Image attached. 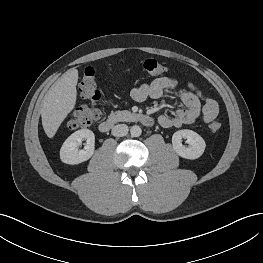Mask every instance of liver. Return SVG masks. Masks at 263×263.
Segmentation results:
<instances>
[{"label": "liver", "instance_id": "liver-1", "mask_svg": "<svg viewBox=\"0 0 263 263\" xmlns=\"http://www.w3.org/2000/svg\"><path fill=\"white\" fill-rule=\"evenodd\" d=\"M77 82L78 70L71 68L46 93L41 105V118L42 126L49 138L55 136L62 122L74 109L77 99Z\"/></svg>", "mask_w": 263, "mask_h": 263}]
</instances>
